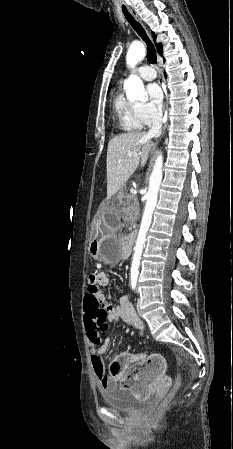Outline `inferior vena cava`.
<instances>
[{
  "label": "inferior vena cava",
  "mask_w": 233,
  "mask_h": 449,
  "mask_svg": "<svg viewBox=\"0 0 233 449\" xmlns=\"http://www.w3.org/2000/svg\"><path fill=\"white\" fill-rule=\"evenodd\" d=\"M162 133V111L156 110L153 115L152 127L148 132L149 137H159Z\"/></svg>",
  "instance_id": "inferior-vena-cava-1"
}]
</instances>
